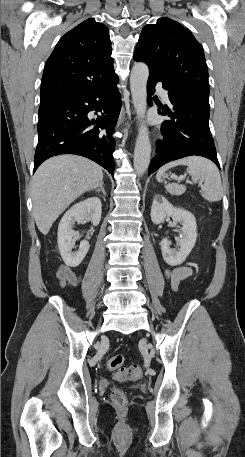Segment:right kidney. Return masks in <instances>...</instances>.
Here are the masks:
<instances>
[{"label":"right kidney","instance_id":"right-kidney-1","mask_svg":"<svg viewBox=\"0 0 245 457\" xmlns=\"http://www.w3.org/2000/svg\"><path fill=\"white\" fill-rule=\"evenodd\" d=\"M102 204L100 198L92 196V198H86L82 202H77L74 206H71L64 216H62L58 226V247L60 251L67 253L69 257L70 267H78L84 257H86L89 251L88 241H81L79 251L72 253L74 249V243H72V237H76L78 233L73 231L72 226L75 222H83L91 220L92 224L96 226L101 220Z\"/></svg>","mask_w":245,"mask_h":457}]
</instances>
